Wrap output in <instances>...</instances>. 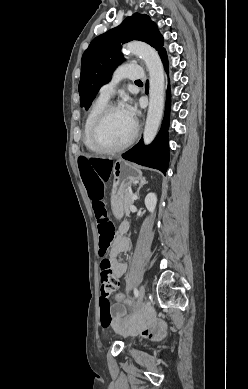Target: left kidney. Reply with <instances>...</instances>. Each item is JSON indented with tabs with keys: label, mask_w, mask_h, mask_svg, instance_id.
Wrapping results in <instances>:
<instances>
[{
	"label": "left kidney",
	"mask_w": 248,
	"mask_h": 389,
	"mask_svg": "<svg viewBox=\"0 0 248 389\" xmlns=\"http://www.w3.org/2000/svg\"><path fill=\"white\" fill-rule=\"evenodd\" d=\"M156 203L157 196L154 193L147 194V196L145 197V206L149 212L153 213L156 207Z\"/></svg>",
	"instance_id": "5707ae66"
}]
</instances>
